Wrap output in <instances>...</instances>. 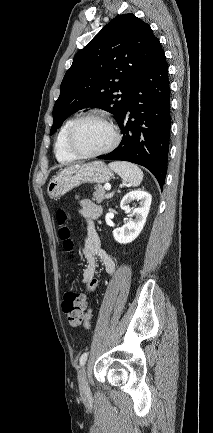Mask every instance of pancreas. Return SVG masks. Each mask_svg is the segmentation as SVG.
<instances>
[{"instance_id": "pancreas-1", "label": "pancreas", "mask_w": 213, "mask_h": 433, "mask_svg": "<svg viewBox=\"0 0 213 433\" xmlns=\"http://www.w3.org/2000/svg\"><path fill=\"white\" fill-rule=\"evenodd\" d=\"M107 197L105 188L101 185L95 188V192L93 193V200L97 203H101Z\"/></svg>"}]
</instances>
